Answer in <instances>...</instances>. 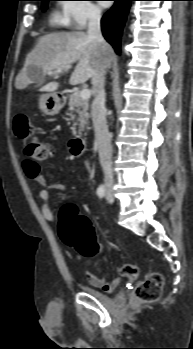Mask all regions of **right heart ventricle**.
I'll return each instance as SVG.
<instances>
[{"label": "right heart ventricle", "mask_w": 193, "mask_h": 349, "mask_svg": "<svg viewBox=\"0 0 193 349\" xmlns=\"http://www.w3.org/2000/svg\"><path fill=\"white\" fill-rule=\"evenodd\" d=\"M52 22H53L54 24H58V25H60V24H65V23H66L64 17L61 16V15H59V14H54V15L52 16Z\"/></svg>", "instance_id": "obj_1"}]
</instances>
